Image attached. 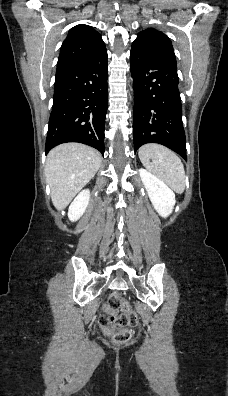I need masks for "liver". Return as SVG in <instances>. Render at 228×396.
<instances>
[{
  "label": "liver",
  "instance_id": "liver-1",
  "mask_svg": "<svg viewBox=\"0 0 228 396\" xmlns=\"http://www.w3.org/2000/svg\"><path fill=\"white\" fill-rule=\"evenodd\" d=\"M101 162L97 150L80 143L61 144L49 152L44 173L57 210H63L95 176Z\"/></svg>",
  "mask_w": 228,
  "mask_h": 396
}]
</instances>
